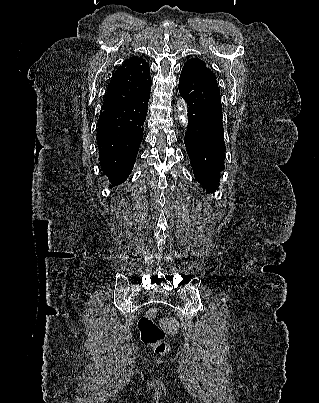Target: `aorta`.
Masks as SVG:
<instances>
[{
    "instance_id": "obj_1",
    "label": "aorta",
    "mask_w": 319,
    "mask_h": 403,
    "mask_svg": "<svg viewBox=\"0 0 319 403\" xmlns=\"http://www.w3.org/2000/svg\"><path fill=\"white\" fill-rule=\"evenodd\" d=\"M177 107H178L179 122L181 123L182 126H187L188 124L187 103L184 100L179 99L177 102Z\"/></svg>"
}]
</instances>
